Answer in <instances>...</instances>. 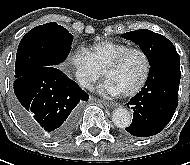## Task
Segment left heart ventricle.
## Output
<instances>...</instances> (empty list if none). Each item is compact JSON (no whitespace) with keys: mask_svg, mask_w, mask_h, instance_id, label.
I'll list each match as a JSON object with an SVG mask.
<instances>
[{"mask_svg":"<svg viewBox=\"0 0 190 165\" xmlns=\"http://www.w3.org/2000/svg\"><path fill=\"white\" fill-rule=\"evenodd\" d=\"M144 67L143 57L139 53H131L117 68L109 71L106 78L121 92H124L139 82L143 75Z\"/></svg>","mask_w":190,"mask_h":165,"instance_id":"left-heart-ventricle-1","label":"left heart ventricle"}]
</instances>
